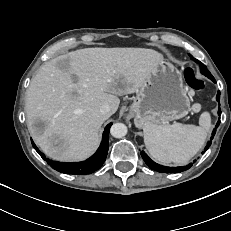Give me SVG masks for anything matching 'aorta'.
Listing matches in <instances>:
<instances>
[{
    "label": "aorta",
    "mask_w": 231,
    "mask_h": 231,
    "mask_svg": "<svg viewBox=\"0 0 231 231\" xmlns=\"http://www.w3.org/2000/svg\"><path fill=\"white\" fill-rule=\"evenodd\" d=\"M110 133L115 138H122L127 134V126L123 123H115L110 129Z\"/></svg>",
    "instance_id": "obj_1"
}]
</instances>
